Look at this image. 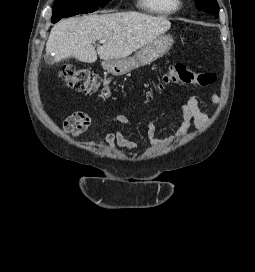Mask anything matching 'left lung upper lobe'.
<instances>
[{"instance_id": "obj_1", "label": "left lung upper lobe", "mask_w": 255, "mask_h": 272, "mask_svg": "<svg viewBox=\"0 0 255 272\" xmlns=\"http://www.w3.org/2000/svg\"><path fill=\"white\" fill-rule=\"evenodd\" d=\"M196 6L199 10L213 14L218 17V3L216 0H195Z\"/></svg>"}]
</instances>
